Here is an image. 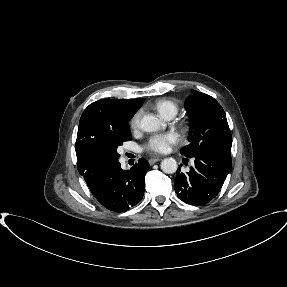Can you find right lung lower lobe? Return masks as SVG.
I'll list each match as a JSON object with an SVG mask.
<instances>
[{"label": "right lung lower lobe", "instance_id": "98d812e1", "mask_svg": "<svg viewBox=\"0 0 287 287\" xmlns=\"http://www.w3.org/2000/svg\"><path fill=\"white\" fill-rule=\"evenodd\" d=\"M148 161L139 159L130 170H123L119 161L106 163L89 178L87 185L95 198L106 209L124 212L143 198Z\"/></svg>", "mask_w": 287, "mask_h": 287}]
</instances>
